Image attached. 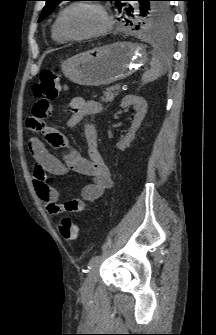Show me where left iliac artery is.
Instances as JSON below:
<instances>
[{"label": "left iliac artery", "instance_id": "obj_1", "mask_svg": "<svg viewBox=\"0 0 216 335\" xmlns=\"http://www.w3.org/2000/svg\"><path fill=\"white\" fill-rule=\"evenodd\" d=\"M100 258H101L100 255H96V256L92 257L89 261L88 269H91L96 263H98Z\"/></svg>", "mask_w": 216, "mask_h": 335}]
</instances>
